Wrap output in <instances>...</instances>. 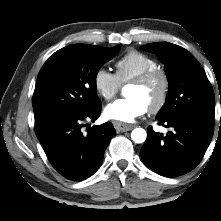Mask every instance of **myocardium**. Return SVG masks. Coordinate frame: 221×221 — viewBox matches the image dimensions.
I'll return each mask as SVG.
<instances>
[{"label":"myocardium","mask_w":221,"mask_h":221,"mask_svg":"<svg viewBox=\"0 0 221 221\" xmlns=\"http://www.w3.org/2000/svg\"><path fill=\"white\" fill-rule=\"evenodd\" d=\"M155 80L160 82V89L156 100L148 107L151 113L159 112L166 104L169 90L170 79L167 72L161 68L152 69L132 79L129 83L137 86H145Z\"/></svg>","instance_id":"obj_1"}]
</instances>
